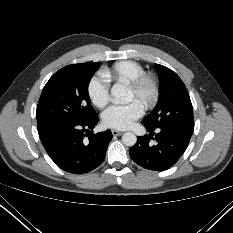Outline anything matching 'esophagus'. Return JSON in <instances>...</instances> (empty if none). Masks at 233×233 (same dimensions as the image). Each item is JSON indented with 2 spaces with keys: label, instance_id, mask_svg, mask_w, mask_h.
Masks as SVG:
<instances>
[{
  "label": "esophagus",
  "instance_id": "34e87169",
  "mask_svg": "<svg viewBox=\"0 0 233 233\" xmlns=\"http://www.w3.org/2000/svg\"><path fill=\"white\" fill-rule=\"evenodd\" d=\"M112 134H113L114 136H120V135L123 134V132H122V131H118V130H112Z\"/></svg>",
  "mask_w": 233,
  "mask_h": 233
}]
</instances>
